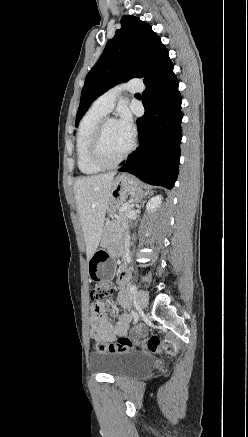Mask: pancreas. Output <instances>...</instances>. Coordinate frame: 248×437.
I'll return each instance as SVG.
<instances>
[{
  "mask_svg": "<svg viewBox=\"0 0 248 437\" xmlns=\"http://www.w3.org/2000/svg\"><path fill=\"white\" fill-rule=\"evenodd\" d=\"M130 206L124 210L123 212H120L118 217L110 221L106 226V233L108 234L107 239H117L124 227V224L127 221V212L130 210Z\"/></svg>",
  "mask_w": 248,
  "mask_h": 437,
  "instance_id": "pancreas-1",
  "label": "pancreas"
}]
</instances>
